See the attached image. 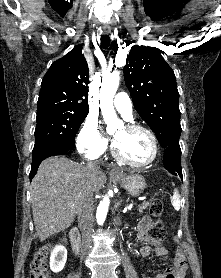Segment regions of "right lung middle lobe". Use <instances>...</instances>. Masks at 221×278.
<instances>
[{
  "label": "right lung middle lobe",
  "mask_w": 221,
  "mask_h": 278,
  "mask_svg": "<svg viewBox=\"0 0 221 278\" xmlns=\"http://www.w3.org/2000/svg\"><path fill=\"white\" fill-rule=\"evenodd\" d=\"M88 112H77L68 109L43 108L37 110L35 145L37 149L53 141L75 143V136Z\"/></svg>",
  "instance_id": "dd1d6c3e"
}]
</instances>
